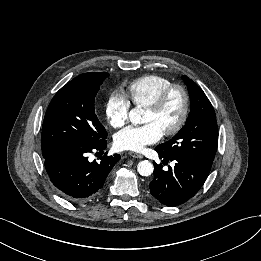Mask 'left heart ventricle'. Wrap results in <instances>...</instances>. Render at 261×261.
<instances>
[{
	"label": "left heart ventricle",
	"instance_id": "1",
	"mask_svg": "<svg viewBox=\"0 0 261 261\" xmlns=\"http://www.w3.org/2000/svg\"><path fill=\"white\" fill-rule=\"evenodd\" d=\"M182 107V95L179 92H174L159 113L155 114L146 109L142 122L145 124L153 123L164 132L176 124L180 117Z\"/></svg>",
	"mask_w": 261,
	"mask_h": 261
}]
</instances>
